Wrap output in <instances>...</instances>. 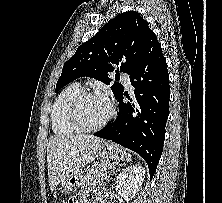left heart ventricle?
Segmentation results:
<instances>
[{"label":"left heart ventricle","mask_w":222,"mask_h":203,"mask_svg":"<svg viewBox=\"0 0 222 203\" xmlns=\"http://www.w3.org/2000/svg\"><path fill=\"white\" fill-rule=\"evenodd\" d=\"M108 102L101 97L86 98L80 106V116L87 125L101 122L109 113Z\"/></svg>","instance_id":"b2bd125f"}]
</instances>
